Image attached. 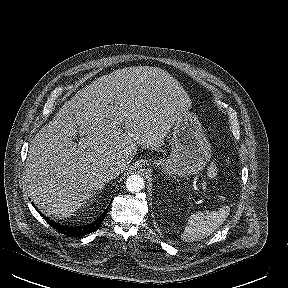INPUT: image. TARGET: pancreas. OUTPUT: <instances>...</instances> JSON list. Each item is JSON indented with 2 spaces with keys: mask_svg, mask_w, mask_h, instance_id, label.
Instances as JSON below:
<instances>
[{
  "mask_svg": "<svg viewBox=\"0 0 288 288\" xmlns=\"http://www.w3.org/2000/svg\"><path fill=\"white\" fill-rule=\"evenodd\" d=\"M212 168H214L213 164L210 165L209 170H211Z\"/></svg>",
  "mask_w": 288,
  "mask_h": 288,
  "instance_id": "1",
  "label": "pancreas"
}]
</instances>
